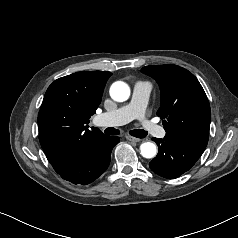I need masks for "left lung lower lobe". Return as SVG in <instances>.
Segmentation results:
<instances>
[{
  "label": "left lung lower lobe",
  "mask_w": 238,
  "mask_h": 238,
  "mask_svg": "<svg viewBox=\"0 0 238 238\" xmlns=\"http://www.w3.org/2000/svg\"><path fill=\"white\" fill-rule=\"evenodd\" d=\"M159 152L149 163L150 169L156 174L174 179L188 171L200 158L206 146L166 135L164 139L153 138Z\"/></svg>",
  "instance_id": "0a47b994"
}]
</instances>
